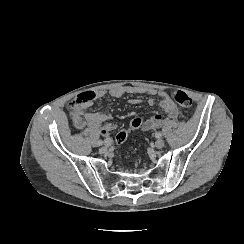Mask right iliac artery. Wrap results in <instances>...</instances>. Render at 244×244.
Returning a JSON list of instances; mask_svg holds the SVG:
<instances>
[{
	"label": "right iliac artery",
	"instance_id": "82829eb1",
	"mask_svg": "<svg viewBox=\"0 0 244 244\" xmlns=\"http://www.w3.org/2000/svg\"><path fill=\"white\" fill-rule=\"evenodd\" d=\"M98 144H99V145H102V144H103L102 140H99V141H98Z\"/></svg>",
	"mask_w": 244,
	"mask_h": 244
}]
</instances>
